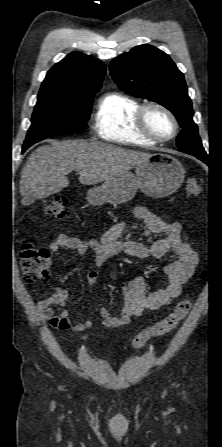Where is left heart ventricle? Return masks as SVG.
Returning a JSON list of instances; mask_svg holds the SVG:
<instances>
[{"label": "left heart ventricle", "instance_id": "1", "mask_svg": "<svg viewBox=\"0 0 222 447\" xmlns=\"http://www.w3.org/2000/svg\"><path fill=\"white\" fill-rule=\"evenodd\" d=\"M146 124L149 130L159 137H168L173 132V124L169 117L157 109L147 111Z\"/></svg>", "mask_w": 222, "mask_h": 447}]
</instances>
